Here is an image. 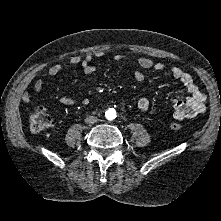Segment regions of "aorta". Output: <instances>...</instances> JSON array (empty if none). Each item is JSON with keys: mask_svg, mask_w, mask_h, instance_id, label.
<instances>
[{"mask_svg": "<svg viewBox=\"0 0 221 221\" xmlns=\"http://www.w3.org/2000/svg\"><path fill=\"white\" fill-rule=\"evenodd\" d=\"M105 116H106V118H107L108 120H113V119H115L116 116H117L115 109L109 108V109L106 111Z\"/></svg>", "mask_w": 221, "mask_h": 221, "instance_id": "aorta-1", "label": "aorta"}]
</instances>
